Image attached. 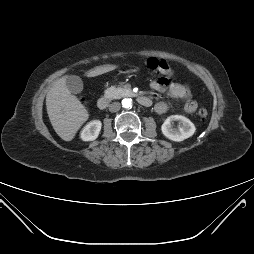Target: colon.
Masks as SVG:
<instances>
[{"instance_id":"colon-1","label":"colon","mask_w":254,"mask_h":254,"mask_svg":"<svg viewBox=\"0 0 254 254\" xmlns=\"http://www.w3.org/2000/svg\"><path fill=\"white\" fill-rule=\"evenodd\" d=\"M146 66L153 71L167 76H171L173 74V70L170 65L166 61L161 59L149 58L146 60ZM198 115L200 116V118L205 119L208 115V111L205 108H200L198 110Z\"/></svg>"}]
</instances>
